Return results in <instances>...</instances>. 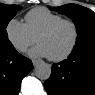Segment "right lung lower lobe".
<instances>
[{"label":"right lung lower lobe","mask_w":95,"mask_h":95,"mask_svg":"<svg viewBox=\"0 0 95 95\" xmlns=\"http://www.w3.org/2000/svg\"><path fill=\"white\" fill-rule=\"evenodd\" d=\"M32 68V62L12 44L0 47V95H17L22 79Z\"/></svg>","instance_id":"right-lung-lower-lobe-1"}]
</instances>
